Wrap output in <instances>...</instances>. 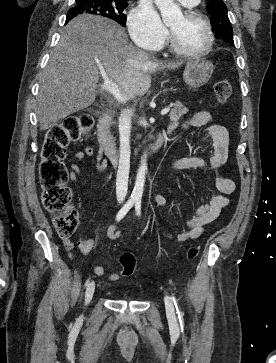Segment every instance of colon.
<instances>
[{
	"label": "colon",
	"mask_w": 276,
	"mask_h": 363,
	"mask_svg": "<svg viewBox=\"0 0 276 363\" xmlns=\"http://www.w3.org/2000/svg\"><path fill=\"white\" fill-rule=\"evenodd\" d=\"M217 104H224L232 94V85L227 80L216 83L214 88ZM89 114L68 116L62 122L51 126L41 148L39 180L42 189L41 199L44 208L53 216L56 233L62 238L71 237L79 224V213L70 205L72 192L67 186L69 173L64 163L67 146L88 133L93 126ZM199 252L197 246L187 251V258L194 259ZM123 275L134 272L136 259L131 253L121 257Z\"/></svg>",
	"instance_id": "colon-1"
}]
</instances>
